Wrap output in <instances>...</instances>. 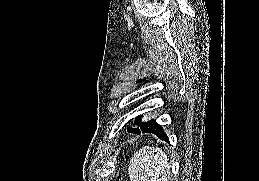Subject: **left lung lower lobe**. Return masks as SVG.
I'll return each mask as SVG.
<instances>
[{"label":"left lung lower lobe","mask_w":259,"mask_h":181,"mask_svg":"<svg viewBox=\"0 0 259 181\" xmlns=\"http://www.w3.org/2000/svg\"><path fill=\"white\" fill-rule=\"evenodd\" d=\"M143 133H153L155 134L158 138L168 141V136L166 133L163 131L162 127L156 122L153 121V123L143 131Z\"/></svg>","instance_id":"left-lung-lower-lobe-1"}]
</instances>
